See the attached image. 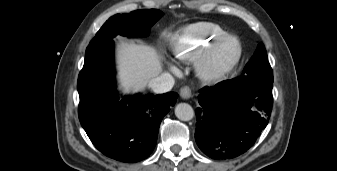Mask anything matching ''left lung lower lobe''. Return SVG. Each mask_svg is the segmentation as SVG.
Listing matches in <instances>:
<instances>
[{
  "instance_id": "left-lung-lower-lobe-1",
  "label": "left lung lower lobe",
  "mask_w": 337,
  "mask_h": 171,
  "mask_svg": "<svg viewBox=\"0 0 337 171\" xmlns=\"http://www.w3.org/2000/svg\"><path fill=\"white\" fill-rule=\"evenodd\" d=\"M273 77L241 75L199 92L195 140L213 159H232L253 146L268 124Z\"/></svg>"
}]
</instances>
